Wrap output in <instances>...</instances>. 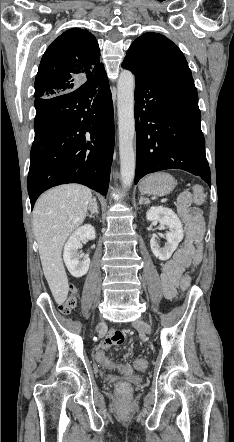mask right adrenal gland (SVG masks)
Here are the masks:
<instances>
[{"label": "right adrenal gland", "mask_w": 234, "mask_h": 442, "mask_svg": "<svg viewBox=\"0 0 234 442\" xmlns=\"http://www.w3.org/2000/svg\"><path fill=\"white\" fill-rule=\"evenodd\" d=\"M88 209L90 210L91 214L88 215L90 218L94 217V214H98V206H97V199L96 197H93V199L91 200Z\"/></svg>", "instance_id": "obj_1"}]
</instances>
